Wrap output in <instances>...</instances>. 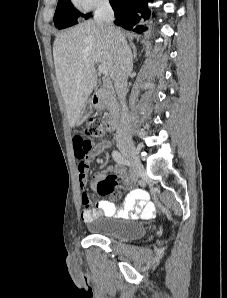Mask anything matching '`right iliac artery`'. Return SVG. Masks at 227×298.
<instances>
[{"instance_id":"1","label":"right iliac artery","mask_w":227,"mask_h":298,"mask_svg":"<svg viewBox=\"0 0 227 298\" xmlns=\"http://www.w3.org/2000/svg\"><path fill=\"white\" fill-rule=\"evenodd\" d=\"M112 157L118 164H126V159L118 151L114 150L112 152Z\"/></svg>"}]
</instances>
